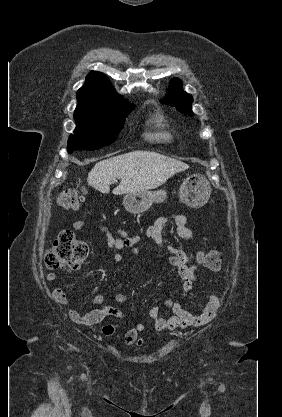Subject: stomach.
<instances>
[{"instance_id": "0dacf381", "label": "stomach", "mask_w": 282, "mask_h": 417, "mask_svg": "<svg viewBox=\"0 0 282 417\" xmlns=\"http://www.w3.org/2000/svg\"><path fill=\"white\" fill-rule=\"evenodd\" d=\"M180 200L193 209H199L207 202L211 194V186L202 174H191L183 180L180 188ZM167 198L166 190H138V192H127L123 198L128 213L140 215L150 209L153 202H164Z\"/></svg>"}]
</instances>
